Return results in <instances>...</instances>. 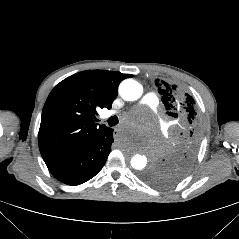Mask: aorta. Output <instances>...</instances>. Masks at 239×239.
<instances>
[{
	"mask_svg": "<svg viewBox=\"0 0 239 239\" xmlns=\"http://www.w3.org/2000/svg\"><path fill=\"white\" fill-rule=\"evenodd\" d=\"M143 92L142 86L132 80V79H126L121 82L119 86V93L121 97L126 101H134L141 97ZM150 161V157L144 154L136 153L131 158V166L136 170H142L144 169L148 162Z\"/></svg>",
	"mask_w": 239,
	"mask_h": 239,
	"instance_id": "762f6f07",
	"label": "aorta"
}]
</instances>
